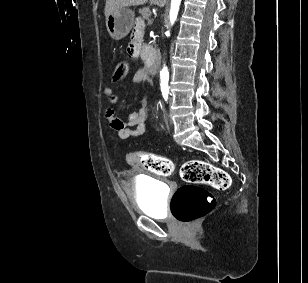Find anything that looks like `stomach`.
<instances>
[{
    "mask_svg": "<svg viewBox=\"0 0 308 283\" xmlns=\"http://www.w3.org/2000/svg\"><path fill=\"white\" fill-rule=\"evenodd\" d=\"M134 23V12L127 7H120L106 17V28L110 37L121 40L128 35Z\"/></svg>",
    "mask_w": 308,
    "mask_h": 283,
    "instance_id": "0dacf381",
    "label": "stomach"
}]
</instances>
